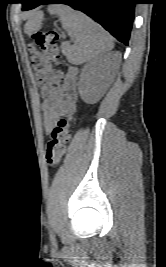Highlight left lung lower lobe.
Returning <instances> with one entry per match:
<instances>
[{"label":"left lung lower lobe","instance_id":"obj_1","mask_svg":"<svg viewBox=\"0 0 166 267\" xmlns=\"http://www.w3.org/2000/svg\"><path fill=\"white\" fill-rule=\"evenodd\" d=\"M23 10H31L44 3H62L80 10L128 45L133 24L136 0H23Z\"/></svg>","mask_w":166,"mask_h":267}]
</instances>
